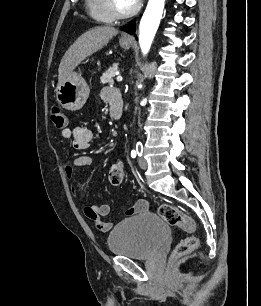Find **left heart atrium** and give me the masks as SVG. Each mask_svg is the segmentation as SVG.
I'll return each mask as SVG.
<instances>
[{
	"mask_svg": "<svg viewBox=\"0 0 261 306\" xmlns=\"http://www.w3.org/2000/svg\"><path fill=\"white\" fill-rule=\"evenodd\" d=\"M134 3H137L139 0H132Z\"/></svg>",
	"mask_w": 261,
	"mask_h": 306,
	"instance_id": "39dd6f15",
	"label": "left heart atrium"
}]
</instances>
